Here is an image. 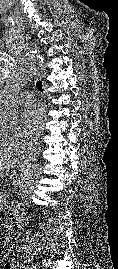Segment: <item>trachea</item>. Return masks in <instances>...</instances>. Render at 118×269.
<instances>
[{
    "instance_id": "1",
    "label": "trachea",
    "mask_w": 118,
    "mask_h": 269,
    "mask_svg": "<svg viewBox=\"0 0 118 269\" xmlns=\"http://www.w3.org/2000/svg\"><path fill=\"white\" fill-rule=\"evenodd\" d=\"M36 87L39 91H43V88H42V82L41 81H37L36 83Z\"/></svg>"
}]
</instances>
